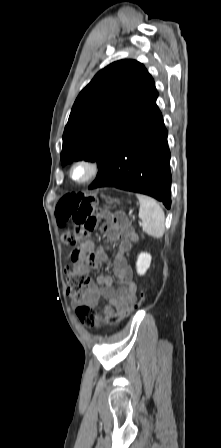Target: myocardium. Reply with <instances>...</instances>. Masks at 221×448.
Masks as SVG:
<instances>
[{
	"label": "myocardium",
	"instance_id": "1",
	"mask_svg": "<svg viewBox=\"0 0 221 448\" xmlns=\"http://www.w3.org/2000/svg\"><path fill=\"white\" fill-rule=\"evenodd\" d=\"M77 168H84L87 170V175L84 178L78 179L74 176V171ZM102 168L100 164L93 159H79L75 161L69 168V178L76 184L85 185L95 181L101 174Z\"/></svg>",
	"mask_w": 221,
	"mask_h": 448
}]
</instances>
